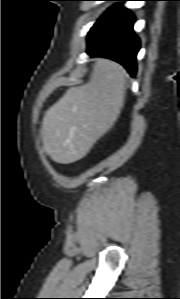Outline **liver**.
<instances>
[{"label":"liver","mask_w":180,"mask_h":299,"mask_svg":"<svg viewBox=\"0 0 180 299\" xmlns=\"http://www.w3.org/2000/svg\"><path fill=\"white\" fill-rule=\"evenodd\" d=\"M95 61L89 82L68 89L43 117L41 141L56 163L84 158L114 125L124 106L125 71L114 61Z\"/></svg>","instance_id":"1"}]
</instances>
